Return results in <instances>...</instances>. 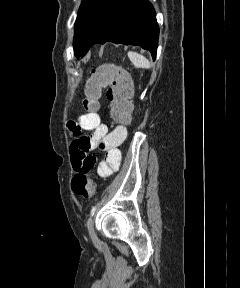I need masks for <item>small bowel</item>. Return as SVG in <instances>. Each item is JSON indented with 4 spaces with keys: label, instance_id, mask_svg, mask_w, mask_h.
Here are the masks:
<instances>
[{
    "label": "small bowel",
    "instance_id": "1",
    "mask_svg": "<svg viewBox=\"0 0 240 288\" xmlns=\"http://www.w3.org/2000/svg\"><path fill=\"white\" fill-rule=\"evenodd\" d=\"M67 129L73 138L70 153L75 172L86 174L92 169L95 159L90 152L96 148L106 151L105 158L97 166L99 176L108 177L119 169L122 157L118 146L127 133L124 126H118L109 132L100 115L89 112L79 116L77 120L68 121ZM82 131H90L91 134L82 135Z\"/></svg>",
    "mask_w": 240,
    "mask_h": 288
}]
</instances>
